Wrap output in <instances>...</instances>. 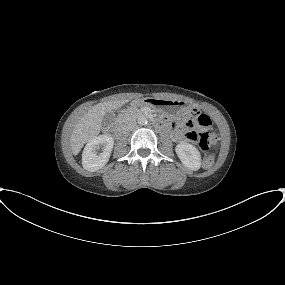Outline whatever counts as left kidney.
Instances as JSON below:
<instances>
[{
  "mask_svg": "<svg viewBox=\"0 0 285 285\" xmlns=\"http://www.w3.org/2000/svg\"><path fill=\"white\" fill-rule=\"evenodd\" d=\"M175 152L181 162L191 170H198L201 166V155L199 150L189 144V143H181L178 144L175 148Z\"/></svg>",
  "mask_w": 285,
  "mask_h": 285,
  "instance_id": "obj_1",
  "label": "left kidney"
}]
</instances>
